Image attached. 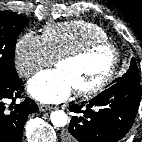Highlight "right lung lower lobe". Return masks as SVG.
Returning a JSON list of instances; mask_svg holds the SVG:
<instances>
[{
	"label": "right lung lower lobe",
	"mask_w": 142,
	"mask_h": 142,
	"mask_svg": "<svg viewBox=\"0 0 142 142\" xmlns=\"http://www.w3.org/2000/svg\"><path fill=\"white\" fill-rule=\"evenodd\" d=\"M22 81L18 78L6 83L0 82V142H21L23 127L28 115L38 111V105L27 98L20 104L15 100L23 92ZM12 100L14 106L6 107L5 101Z\"/></svg>",
	"instance_id": "obj_1"
}]
</instances>
